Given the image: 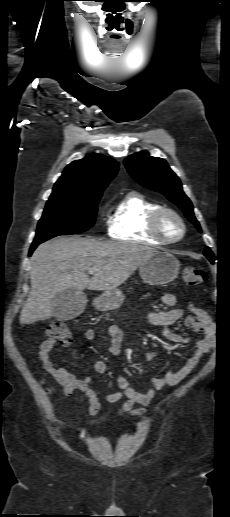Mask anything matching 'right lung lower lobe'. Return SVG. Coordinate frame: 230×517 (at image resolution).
<instances>
[{"label":"right lung lower lobe","instance_id":"1","mask_svg":"<svg viewBox=\"0 0 230 517\" xmlns=\"http://www.w3.org/2000/svg\"><path fill=\"white\" fill-rule=\"evenodd\" d=\"M38 245H39V244L32 243V246H31L30 251H29V256H31L32 252L34 251V249H35Z\"/></svg>","mask_w":230,"mask_h":517}]
</instances>
